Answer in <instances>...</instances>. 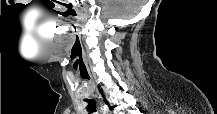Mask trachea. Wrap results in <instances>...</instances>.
Returning a JSON list of instances; mask_svg holds the SVG:
<instances>
[{
  "label": "trachea",
  "mask_w": 217,
  "mask_h": 114,
  "mask_svg": "<svg viewBox=\"0 0 217 114\" xmlns=\"http://www.w3.org/2000/svg\"><path fill=\"white\" fill-rule=\"evenodd\" d=\"M85 101L88 103L87 110L89 112H95L96 111V103H95V101L92 100V99H90V100L86 99Z\"/></svg>",
  "instance_id": "3493384b"
}]
</instances>
